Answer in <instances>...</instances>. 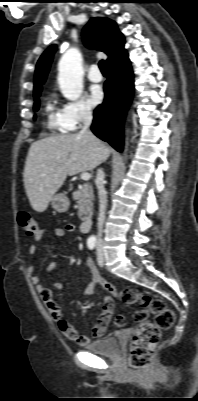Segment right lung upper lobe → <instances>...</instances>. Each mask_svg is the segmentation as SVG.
<instances>
[{"label":"right lung upper lobe","mask_w":198,"mask_h":401,"mask_svg":"<svg viewBox=\"0 0 198 401\" xmlns=\"http://www.w3.org/2000/svg\"><path fill=\"white\" fill-rule=\"evenodd\" d=\"M83 37L87 47L103 51L108 55V64L126 51L124 49L125 40L123 35L119 32L116 23L108 18H92L83 29ZM55 51L56 45H51L37 62L34 95L41 92Z\"/></svg>","instance_id":"1"}]
</instances>
